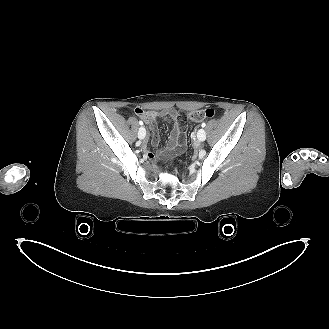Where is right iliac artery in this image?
<instances>
[{
    "label": "right iliac artery",
    "mask_w": 329,
    "mask_h": 329,
    "mask_svg": "<svg viewBox=\"0 0 329 329\" xmlns=\"http://www.w3.org/2000/svg\"><path fill=\"white\" fill-rule=\"evenodd\" d=\"M139 125H141V126H142V125H143V121H141V120H140V121H139Z\"/></svg>",
    "instance_id": "1"
}]
</instances>
